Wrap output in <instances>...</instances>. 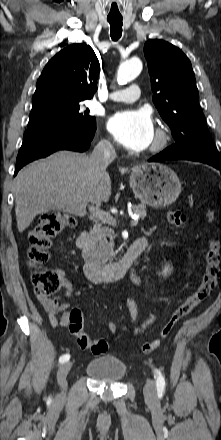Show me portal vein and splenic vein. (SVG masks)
Returning a JSON list of instances; mask_svg holds the SVG:
<instances>
[{
  "label": "portal vein and splenic vein",
  "instance_id": "obj_1",
  "mask_svg": "<svg viewBox=\"0 0 221 440\" xmlns=\"http://www.w3.org/2000/svg\"><path fill=\"white\" fill-rule=\"evenodd\" d=\"M89 211L93 216L101 220L102 222H105L109 225L116 226V219L110 215L108 212L102 211L94 206H91L89 208ZM138 224V218H133L131 221V226H136Z\"/></svg>",
  "mask_w": 221,
  "mask_h": 440
}]
</instances>
